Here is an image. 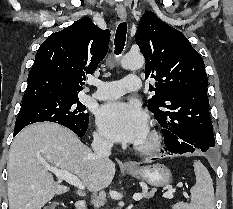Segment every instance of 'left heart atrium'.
<instances>
[{"label": "left heart atrium", "instance_id": "39dd6f15", "mask_svg": "<svg viewBox=\"0 0 233 209\" xmlns=\"http://www.w3.org/2000/svg\"><path fill=\"white\" fill-rule=\"evenodd\" d=\"M96 121L101 132L116 142L138 143L148 132L147 115L136 102H107L99 107Z\"/></svg>", "mask_w": 233, "mask_h": 209}]
</instances>
